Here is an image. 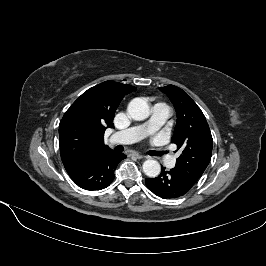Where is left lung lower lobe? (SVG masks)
I'll return each instance as SVG.
<instances>
[{
  "label": "left lung lower lobe",
  "mask_w": 266,
  "mask_h": 266,
  "mask_svg": "<svg viewBox=\"0 0 266 266\" xmlns=\"http://www.w3.org/2000/svg\"><path fill=\"white\" fill-rule=\"evenodd\" d=\"M146 186L163 199L178 198L188 193L193 186L183 180L173 169L165 171L156 178H146Z\"/></svg>",
  "instance_id": "obj_1"
}]
</instances>
